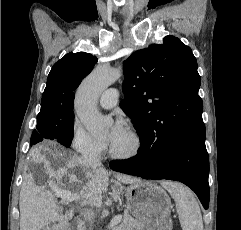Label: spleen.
Instances as JSON below:
<instances>
[{
  "instance_id": "1",
  "label": "spleen",
  "mask_w": 241,
  "mask_h": 230,
  "mask_svg": "<svg viewBox=\"0 0 241 230\" xmlns=\"http://www.w3.org/2000/svg\"><path fill=\"white\" fill-rule=\"evenodd\" d=\"M176 204L177 214L183 230H203V220L195 195L182 184L162 182Z\"/></svg>"
}]
</instances>
